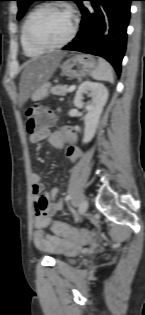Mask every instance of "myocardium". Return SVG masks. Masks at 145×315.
<instances>
[{
    "instance_id": "1",
    "label": "myocardium",
    "mask_w": 145,
    "mask_h": 315,
    "mask_svg": "<svg viewBox=\"0 0 145 315\" xmlns=\"http://www.w3.org/2000/svg\"><path fill=\"white\" fill-rule=\"evenodd\" d=\"M51 10L62 11V12H66L67 14H69L71 17V21H72L71 22V28H70L68 35L63 40H61L57 43H53V44H45V43H41V42H39L33 38L32 25H33L34 21L37 19V17H39L44 12L51 11ZM77 23H78V20H77L76 15L72 11H70L69 9L64 8V7H59V6L54 5V4H47L45 6L38 8L37 10H35L30 15V17L28 18V20L26 22V26H25V36H26L28 43L37 49H40L43 51L54 50V49H58V48H61L65 45H67L73 39V37L75 36L76 30H77Z\"/></svg>"
}]
</instances>
